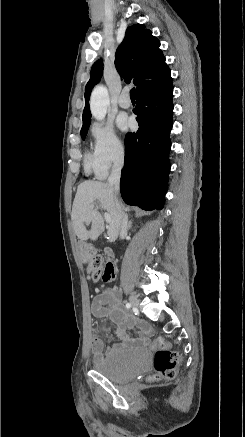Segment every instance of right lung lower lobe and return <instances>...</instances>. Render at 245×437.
Instances as JSON below:
<instances>
[{
	"mask_svg": "<svg viewBox=\"0 0 245 437\" xmlns=\"http://www.w3.org/2000/svg\"><path fill=\"white\" fill-rule=\"evenodd\" d=\"M172 80L136 94L139 129L125 137L120 192L128 205L161 210L165 202L173 114Z\"/></svg>",
	"mask_w": 245,
	"mask_h": 437,
	"instance_id": "98d812e1",
	"label": "right lung lower lobe"
}]
</instances>
